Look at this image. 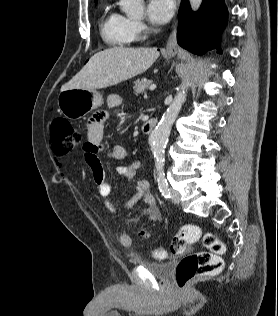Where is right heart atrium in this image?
Here are the masks:
<instances>
[{"label": "right heart atrium", "mask_w": 278, "mask_h": 316, "mask_svg": "<svg viewBox=\"0 0 278 316\" xmlns=\"http://www.w3.org/2000/svg\"><path fill=\"white\" fill-rule=\"evenodd\" d=\"M127 28L133 40L141 38L145 32V25L140 20L127 18Z\"/></svg>", "instance_id": "d8ad5b80"}]
</instances>
